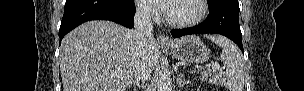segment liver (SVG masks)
<instances>
[{
    "label": "liver",
    "mask_w": 304,
    "mask_h": 91,
    "mask_svg": "<svg viewBox=\"0 0 304 91\" xmlns=\"http://www.w3.org/2000/svg\"><path fill=\"white\" fill-rule=\"evenodd\" d=\"M149 44L152 66L159 58ZM137 60L132 30L111 21L86 22L68 33L60 48L63 91H125Z\"/></svg>",
    "instance_id": "1"
}]
</instances>
